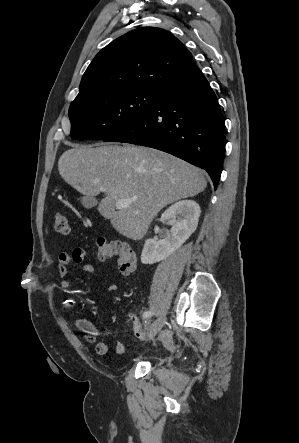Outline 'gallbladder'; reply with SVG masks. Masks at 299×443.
Returning a JSON list of instances; mask_svg holds the SVG:
<instances>
[{
    "label": "gallbladder",
    "mask_w": 299,
    "mask_h": 443,
    "mask_svg": "<svg viewBox=\"0 0 299 443\" xmlns=\"http://www.w3.org/2000/svg\"><path fill=\"white\" fill-rule=\"evenodd\" d=\"M81 203L85 208L91 209L97 204V201L93 197L84 196L81 198Z\"/></svg>",
    "instance_id": "obj_1"
}]
</instances>
